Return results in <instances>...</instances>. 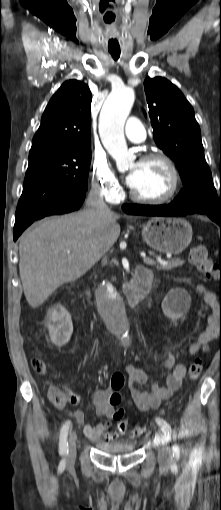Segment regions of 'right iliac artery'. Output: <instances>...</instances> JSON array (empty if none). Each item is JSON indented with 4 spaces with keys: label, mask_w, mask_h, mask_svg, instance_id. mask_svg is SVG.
Returning <instances> with one entry per match:
<instances>
[{
    "label": "right iliac artery",
    "mask_w": 221,
    "mask_h": 510,
    "mask_svg": "<svg viewBox=\"0 0 221 510\" xmlns=\"http://www.w3.org/2000/svg\"><path fill=\"white\" fill-rule=\"evenodd\" d=\"M70 425H71V422L68 420L64 423V425L61 428L60 437H59V453H60V455L68 454L67 437H68Z\"/></svg>",
    "instance_id": "82829eb1"
}]
</instances>
